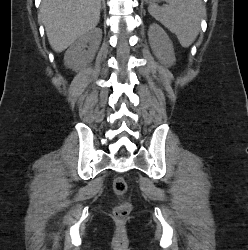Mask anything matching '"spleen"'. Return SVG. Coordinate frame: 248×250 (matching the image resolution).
Returning <instances> with one entry per match:
<instances>
[{
    "instance_id": "spleen-1",
    "label": "spleen",
    "mask_w": 248,
    "mask_h": 250,
    "mask_svg": "<svg viewBox=\"0 0 248 250\" xmlns=\"http://www.w3.org/2000/svg\"><path fill=\"white\" fill-rule=\"evenodd\" d=\"M160 7L150 3L148 11L152 17L177 36L182 47H189L197 38L205 9L202 0H165Z\"/></svg>"
}]
</instances>
